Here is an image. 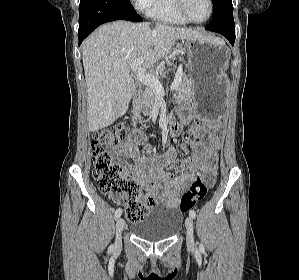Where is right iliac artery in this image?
Returning a JSON list of instances; mask_svg holds the SVG:
<instances>
[{
    "label": "right iliac artery",
    "mask_w": 299,
    "mask_h": 280,
    "mask_svg": "<svg viewBox=\"0 0 299 280\" xmlns=\"http://www.w3.org/2000/svg\"><path fill=\"white\" fill-rule=\"evenodd\" d=\"M122 214V209L121 208H118L116 211H115V219H117L118 217H120Z\"/></svg>",
    "instance_id": "obj_1"
}]
</instances>
